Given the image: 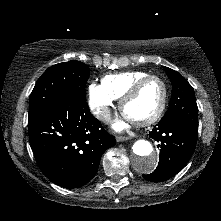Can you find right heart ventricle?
<instances>
[{"label": "right heart ventricle", "mask_w": 221, "mask_h": 221, "mask_svg": "<svg viewBox=\"0 0 221 221\" xmlns=\"http://www.w3.org/2000/svg\"><path fill=\"white\" fill-rule=\"evenodd\" d=\"M149 75L145 71H127L109 74L102 78V86L114 98L122 96L141 78Z\"/></svg>", "instance_id": "obj_1"}]
</instances>
